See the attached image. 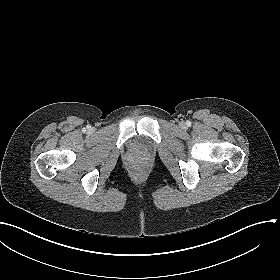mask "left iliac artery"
I'll use <instances>...</instances> for the list:
<instances>
[{
	"instance_id": "44dca946",
	"label": "left iliac artery",
	"mask_w": 280,
	"mask_h": 280,
	"mask_svg": "<svg viewBox=\"0 0 280 280\" xmlns=\"http://www.w3.org/2000/svg\"><path fill=\"white\" fill-rule=\"evenodd\" d=\"M186 125H187V126H191V122H190V121H187V122H186Z\"/></svg>"
}]
</instances>
